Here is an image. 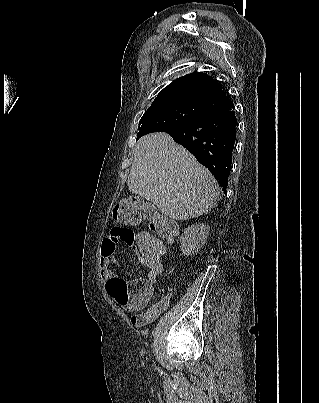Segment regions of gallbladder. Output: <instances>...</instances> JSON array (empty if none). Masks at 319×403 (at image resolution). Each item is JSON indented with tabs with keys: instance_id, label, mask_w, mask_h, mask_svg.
Listing matches in <instances>:
<instances>
[{
	"instance_id": "1",
	"label": "gallbladder",
	"mask_w": 319,
	"mask_h": 403,
	"mask_svg": "<svg viewBox=\"0 0 319 403\" xmlns=\"http://www.w3.org/2000/svg\"><path fill=\"white\" fill-rule=\"evenodd\" d=\"M146 207H150V208H154V206L152 204L146 203Z\"/></svg>"
}]
</instances>
